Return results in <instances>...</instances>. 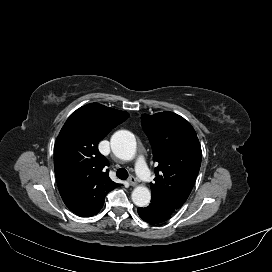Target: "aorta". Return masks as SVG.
Wrapping results in <instances>:
<instances>
[{
	"instance_id": "aorta-1",
	"label": "aorta",
	"mask_w": 272,
	"mask_h": 272,
	"mask_svg": "<svg viewBox=\"0 0 272 272\" xmlns=\"http://www.w3.org/2000/svg\"><path fill=\"white\" fill-rule=\"evenodd\" d=\"M111 149L114 155L122 160H131L136 153V139L127 130L115 132L110 140ZM133 203L138 207H146L151 200V193L145 186H137L131 195Z\"/></svg>"
}]
</instances>
